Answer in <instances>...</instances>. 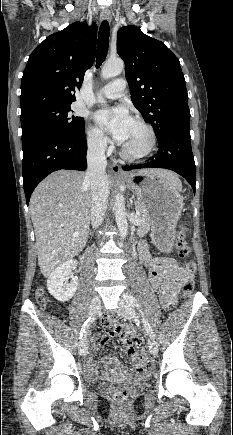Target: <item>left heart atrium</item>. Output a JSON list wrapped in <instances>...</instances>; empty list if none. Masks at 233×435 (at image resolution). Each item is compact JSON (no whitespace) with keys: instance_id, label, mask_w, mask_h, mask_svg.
Returning <instances> with one entry per match:
<instances>
[{"instance_id":"obj_1","label":"left heart atrium","mask_w":233,"mask_h":435,"mask_svg":"<svg viewBox=\"0 0 233 435\" xmlns=\"http://www.w3.org/2000/svg\"><path fill=\"white\" fill-rule=\"evenodd\" d=\"M93 119L98 126L111 134L116 143L121 145L126 139L133 123V118L123 105L99 110L94 113Z\"/></svg>"}]
</instances>
